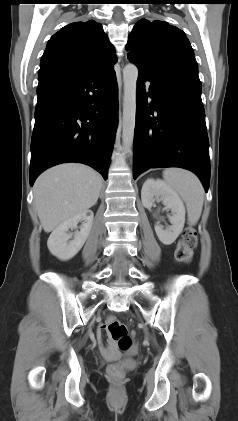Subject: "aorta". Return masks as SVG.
<instances>
[{
  "instance_id": "762f6f07",
  "label": "aorta",
  "mask_w": 238,
  "mask_h": 421,
  "mask_svg": "<svg viewBox=\"0 0 238 421\" xmlns=\"http://www.w3.org/2000/svg\"><path fill=\"white\" fill-rule=\"evenodd\" d=\"M137 78V66L134 64H127L123 69L124 96L122 139L125 151L130 150L134 138V129L136 121Z\"/></svg>"
}]
</instances>
